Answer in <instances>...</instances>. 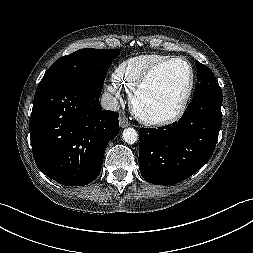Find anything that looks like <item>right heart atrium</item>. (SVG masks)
<instances>
[{"label": "right heart atrium", "mask_w": 253, "mask_h": 253, "mask_svg": "<svg viewBox=\"0 0 253 253\" xmlns=\"http://www.w3.org/2000/svg\"><path fill=\"white\" fill-rule=\"evenodd\" d=\"M107 89L115 96L116 100L118 101L122 100L120 91L115 85H108Z\"/></svg>", "instance_id": "1"}]
</instances>
